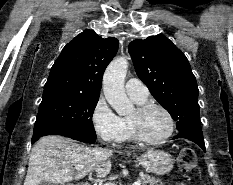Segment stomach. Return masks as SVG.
Masks as SVG:
<instances>
[{
    "label": "stomach",
    "instance_id": "1",
    "mask_svg": "<svg viewBox=\"0 0 233 185\" xmlns=\"http://www.w3.org/2000/svg\"><path fill=\"white\" fill-rule=\"evenodd\" d=\"M138 163L143 166L146 171L158 175L169 173L174 164L172 156L161 150H148L137 158Z\"/></svg>",
    "mask_w": 233,
    "mask_h": 185
}]
</instances>
